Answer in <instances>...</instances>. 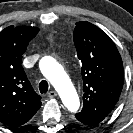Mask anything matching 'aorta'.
<instances>
[{"mask_svg": "<svg viewBox=\"0 0 133 133\" xmlns=\"http://www.w3.org/2000/svg\"><path fill=\"white\" fill-rule=\"evenodd\" d=\"M39 67L43 76L58 92L64 106L70 112H76L80 107V100L63 67L50 56L43 57Z\"/></svg>", "mask_w": 133, "mask_h": 133, "instance_id": "1", "label": "aorta"}]
</instances>
